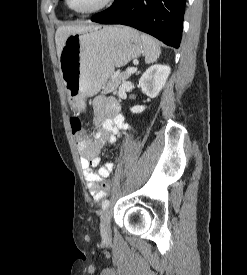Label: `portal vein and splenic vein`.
<instances>
[{
  "label": "portal vein and splenic vein",
  "mask_w": 247,
  "mask_h": 275,
  "mask_svg": "<svg viewBox=\"0 0 247 275\" xmlns=\"http://www.w3.org/2000/svg\"><path fill=\"white\" fill-rule=\"evenodd\" d=\"M136 71H137V68H134V67L128 68V69L126 70V72L129 73V74H133V73H135Z\"/></svg>",
  "instance_id": "18ae733b"
}]
</instances>
